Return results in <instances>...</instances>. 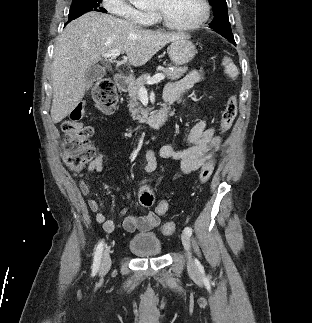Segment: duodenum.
<instances>
[{
  "label": "duodenum",
  "mask_w": 312,
  "mask_h": 323,
  "mask_svg": "<svg viewBox=\"0 0 312 323\" xmlns=\"http://www.w3.org/2000/svg\"><path fill=\"white\" fill-rule=\"evenodd\" d=\"M115 84L119 90L124 91L130 84V77L125 73H119L115 77ZM169 119L170 110L169 107L166 106L157 113L143 118L140 120L139 124L150 130H158L159 128L164 127L169 122Z\"/></svg>",
  "instance_id": "duodenum-1"
}]
</instances>
